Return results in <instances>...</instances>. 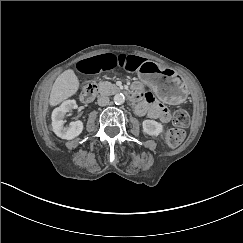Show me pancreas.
I'll return each mask as SVG.
<instances>
[{
    "label": "pancreas",
    "mask_w": 243,
    "mask_h": 243,
    "mask_svg": "<svg viewBox=\"0 0 243 243\" xmlns=\"http://www.w3.org/2000/svg\"><path fill=\"white\" fill-rule=\"evenodd\" d=\"M98 90L100 93H106L107 95L119 90V88L108 81H101L98 84Z\"/></svg>",
    "instance_id": "1"
}]
</instances>
